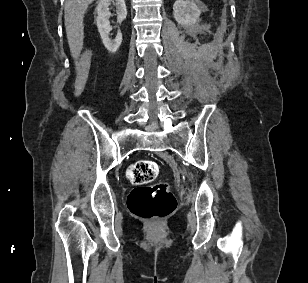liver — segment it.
<instances>
[{
    "label": "liver",
    "instance_id": "liver-1",
    "mask_svg": "<svg viewBox=\"0 0 308 283\" xmlns=\"http://www.w3.org/2000/svg\"><path fill=\"white\" fill-rule=\"evenodd\" d=\"M95 0H66L64 19L67 40L71 54L76 58L83 47L84 26L83 18L88 6Z\"/></svg>",
    "mask_w": 308,
    "mask_h": 283
}]
</instances>
